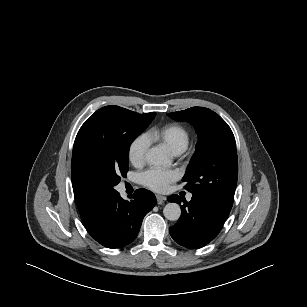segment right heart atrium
Listing matches in <instances>:
<instances>
[{
  "label": "right heart atrium",
  "mask_w": 307,
  "mask_h": 307,
  "mask_svg": "<svg viewBox=\"0 0 307 307\" xmlns=\"http://www.w3.org/2000/svg\"><path fill=\"white\" fill-rule=\"evenodd\" d=\"M149 149V140L145 135L136 137L129 145V161L136 166L144 163Z\"/></svg>",
  "instance_id": "1"
}]
</instances>
